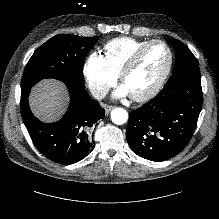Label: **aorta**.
<instances>
[{
    "mask_svg": "<svg viewBox=\"0 0 219 219\" xmlns=\"http://www.w3.org/2000/svg\"><path fill=\"white\" fill-rule=\"evenodd\" d=\"M111 120L114 124L122 125L128 120V113L123 108H115L111 111Z\"/></svg>",
    "mask_w": 219,
    "mask_h": 219,
    "instance_id": "aorta-1",
    "label": "aorta"
}]
</instances>
